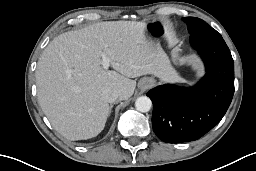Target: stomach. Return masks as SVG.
Wrapping results in <instances>:
<instances>
[{"instance_id":"stomach-1","label":"stomach","mask_w":256,"mask_h":171,"mask_svg":"<svg viewBox=\"0 0 256 171\" xmlns=\"http://www.w3.org/2000/svg\"><path fill=\"white\" fill-rule=\"evenodd\" d=\"M150 80H151L152 82H154V80H153L152 78H151Z\"/></svg>"}]
</instances>
